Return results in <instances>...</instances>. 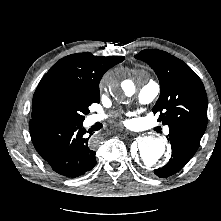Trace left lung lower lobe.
Here are the masks:
<instances>
[{"label": "left lung lower lobe", "instance_id": "left-lung-lower-lobe-1", "mask_svg": "<svg viewBox=\"0 0 221 221\" xmlns=\"http://www.w3.org/2000/svg\"><path fill=\"white\" fill-rule=\"evenodd\" d=\"M169 129L172 157L165 166L154 170L160 178H166L181 170L197 151L203 136L186 128L170 127Z\"/></svg>", "mask_w": 221, "mask_h": 221}]
</instances>
